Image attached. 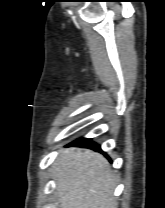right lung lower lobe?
Masks as SVG:
<instances>
[{
  "label": "right lung lower lobe",
  "mask_w": 165,
  "mask_h": 208,
  "mask_svg": "<svg viewBox=\"0 0 165 208\" xmlns=\"http://www.w3.org/2000/svg\"><path fill=\"white\" fill-rule=\"evenodd\" d=\"M70 146H80V147L91 148L96 151H101V148L99 145L92 142L91 139H85V138L77 139L76 141L72 142Z\"/></svg>",
  "instance_id": "right-lung-lower-lobe-1"
}]
</instances>
